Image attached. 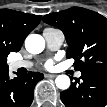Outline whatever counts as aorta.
Segmentation results:
<instances>
[{"instance_id": "obj_1", "label": "aorta", "mask_w": 107, "mask_h": 107, "mask_svg": "<svg viewBox=\"0 0 107 107\" xmlns=\"http://www.w3.org/2000/svg\"><path fill=\"white\" fill-rule=\"evenodd\" d=\"M25 48L31 54H39L45 48V40L39 34H30L25 39ZM55 84L59 89L66 90L70 87V78L64 74L58 75Z\"/></svg>"}]
</instances>
